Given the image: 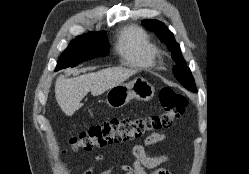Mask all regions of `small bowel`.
Returning <instances> with one entry per match:
<instances>
[{"label":"small bowel","mask_w":249,"mask_h":174,"mask_svg":"<svg viewBox=\"0 0 249 174\" xmlns=\"http://www.w3.org/2000/svg\"><path fill=\"white\" fill-rule=\"evenodd\" d=\"M164 134H156L149 136L144 144H136L132 148L134 162L132 164H119L105 169L101 174H114L117 171L124 174H146V169L152 171L151 174H170L161 165L166 163L170 156L162 154L157 156H150L146 153L145 146L161 143L165 140ZM101 155L96 156L89 167L85 170L84 174H93L98 163L102 161Z\"/></svg>","instance_id":"c3829d8e"}]
</instances>
